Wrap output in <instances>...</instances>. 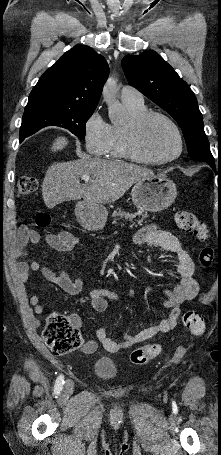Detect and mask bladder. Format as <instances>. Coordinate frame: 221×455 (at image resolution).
<instances>
[{
	"label": "bladder",
	"mask_w": 221,
	"mask_h": 455,
	"mask_svg": "<svg viewBox=\"0 0 221 455\" xmlns=\"http://www.w3.org/2000/svg\"><path fill=\"white\" fill-rule=\"evenodd\" d=\"M93 371L100 378L111 379L116 375L118 368L112 360L100 358L94 362Z\"/></svg>",
	"instance_id": "31cf9c89"
}]
</instances>
